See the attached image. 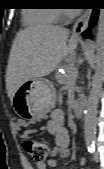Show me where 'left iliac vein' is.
<instances>
[{"label": "left iliac vein", "mask_w": 104, "mask_h": 169, "mask_svg": "<svg viewBox=\"0 0 104 169\" xmlns=\"http://www.w3.org/2000/svg\"><path fill=\"white\" fill-rule=\"evenodd\" d=\"M94 161L98 162L99 161V155L98 152L96 151L94 154Z\"/></svg>", "instance_id": "obj_1"}]
</instances>
